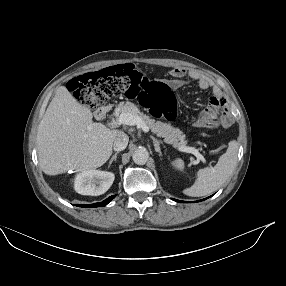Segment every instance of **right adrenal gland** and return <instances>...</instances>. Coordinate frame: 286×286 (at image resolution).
<instances>
[{"label": "right adrenal gland", "instance_id": "right-adrenal-gland-1", "mask_svg": "<svg viewBox=\"0 0 286 286\" xmlns=\"http://www.w3.org/2000/svg\"><path fill=\"white\" fill-rule=\"evenodd\" d=\"M119 154V152H116L110 159L109 161V165L108 168L110 167V165L112 164L113 161H116L117 155Z\"/></svg>", "mask_w": 286, "mask_h": 286}]
</instances>
